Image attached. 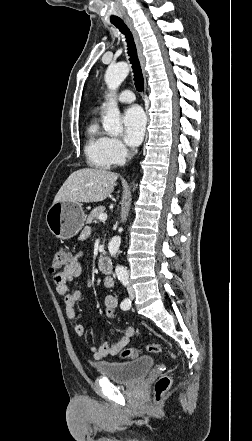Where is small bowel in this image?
<instances>
[{
    "label": "small bowel",
    "instance_id": "obj_1",
    "mask_svg": "<svg viewBox=\"0 0 252 441\" xmlns=\"http://www.w3.org/2000/svg\"><path fill=\"white\" fill-rule=\"evenodd\" d=\"M82 269L79 263V255L71 258L68 265L59 273L53 277V282L56 287V291L59 295L63 296L65 304V314L67 318L73 323L74 333L77 336L84 334V328L78 323V317L75 309V304L81 299L83 290L80 286L76 287L71 293H68V283L81 275ZM114 278L110 275H106L103 278V284L106 288H112L114 286ZM119 298L117 295H108L104 298V306L112 305L115 308L118 306ZM134 335V328L129 326L125 332L112 342H104L102 345L96 347L91 346L87 352L95 360H101L107 356L115 355L119 353L129 342L130 338Z\"/></svg>",
    "mask_w": 252,
    "mask_h": 441
}]
</instances>
